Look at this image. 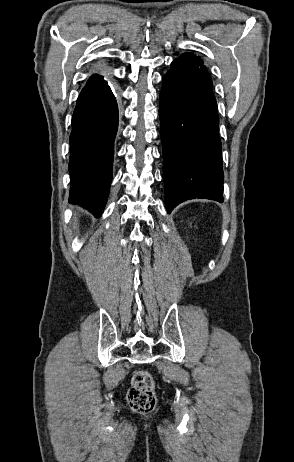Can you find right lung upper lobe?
Returning a JSON list of instances; mask_svg holds the SVG:
<instances>
[{
    "label": "right lung upper lobe",
    "instance_id": "right-lung-upper-lobe-1",
    "mask_svg": "<svg viewBox=\"0 0 294 462\" xmlns=\"http://www.w3.org/2000/svg\"><path fill=\"white\" fill-rule=\"evenodd\" d=\"M102 76L98 75V74H93L90 79H98V78H101Z\"/></svg>",
    "mask_w": 294,
    "mask_h": 462
}]
</instances>
